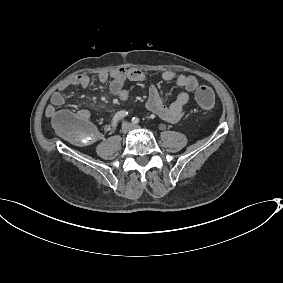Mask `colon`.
Returning <instances> with one entry per match:
<instances>
[{
	"label": "colon",
	"mask_w": 283,
	"mask_h": 283,
	"mask_svg": "<svg viewBox=\"0 0 283 283\" xmlns=\"http://www.w3.org/2000/svg\"><path fill=\"white\" fill-rule=\"evenodd\" d=\"M196 100L200 108L209 111L215 104L213 91L207 86H201L196 92ZM55 129L63 137L77 145H88L97 139V131L85 118L77 114L60 111L53 119Z\"/></svg>",
	"instance_id": "colon-1"
}]
</instances>
